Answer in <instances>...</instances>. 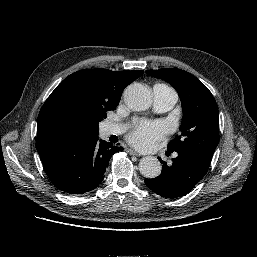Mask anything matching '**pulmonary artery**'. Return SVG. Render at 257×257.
I'll use <instances>...</instances> for the list:
<instances>
[{"label": "pulmonary artery", "instance_id": "obj_1", "mask_svg": "<svg viewBox=\"0 0 257 257\" xmlns=\"http://www.w3.org/2000/svg\"><path fill=\"white\" fill-rule=\"evenodd\" d=\"M154 109L156 112L163 113L173 108L176 103V94L165 85H155L153 87ZM122 131L118 125L109 124L106 127L108 134H119Z\"/></svg>", "mask_w": 257, "mask_h": 257}]
</instances>
